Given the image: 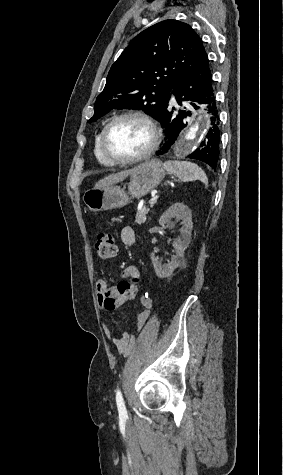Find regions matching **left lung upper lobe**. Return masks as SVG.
Here are the masks:
<instances>
[{
    "instance_id": "1",
    "label": "left lung upper lobe",
    "mask_w": 283,
    "mask_h": 475,
    "mask_svg": "<svg viewBox=\"0 0 283 475\" xmlns=\"http://www.w3.org/2000/svg\"><path fill=\"white\" fill-rule=\"evenodd\" d=\"M208 60L190 25L164 20L138 34L112 65L89 123L117 109H138L158 118L174 84Z\"/></svg>"
}]
</instances>
